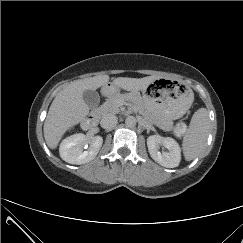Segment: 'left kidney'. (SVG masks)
Wrapping results in <instances>:
<instances>
[{"label":"left kidney","instance_id":"obj_1","mask_svg":"<svg viewBox=\"0 0 243 243\" xmlns=\"http://www.w3.org/2000/svg\"><path fill=\"white\" fill-rule=\"evenodd\" d=\"M162 144L168 151L159 152L158 146ZM147 147L150 156L161 166L166 168L177 167L181 160V150L178 143L171 137L152 135L147 138Z\"/></svg>","mask_w":243,"mask_h":243}]
</instances>
